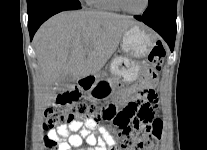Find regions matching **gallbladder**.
Masks as SVG:
<instances>
[{"instance_id":"1","label":"gallbladder","mask_w":207,"mask_h":150,"mask_svg":"<svg viewBox=\"0 0 207 150\" xmlns=\"http://www.w3.org/2000/svg\"><path fill=\"white\" fill-rule=\"evenodd\" d=\"M74 83H75V79L72 77V75L69 74L65 76L59 84L58 92H63L65 90L72 88V85Z\"/></svg>"}]
</instances>
